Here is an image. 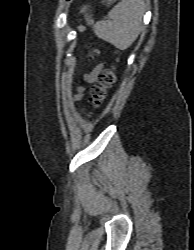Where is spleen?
<instances>
[{
	"mask_svg": "<svg viewBox=\"0 0 194 250\" xmlns=\"http://www.w3.org/2000/svg\"><path fill=\"white\" fill-rule=\"evenodd\" d=\"M145 12L144 0H121L108 13V19L94 23L86 18L95 35L119 49H127L137 39Z\"/></svg>",
	"mask_w": 194,
	"mask_h": 250,
	"instance_id": "spleen-1",
	"label": "spleen"
}]
</instances>
